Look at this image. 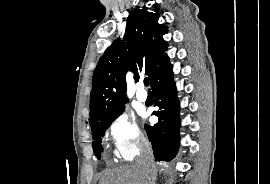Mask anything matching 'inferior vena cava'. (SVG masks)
<instances>
[{
    "label": "inferior vena cava",
    "mask_w": 270,
    "mask_h": 184,
    "mask_svg": "<svg viewBox=\"0 0 270 184\" xmlns=\"http://www.w3.org/2000/svg\"><path fill=\"white\" fill-rule=\"evenodd\" d=\"M137 165L141 166L147 171H150V173L154 172L153 152L147 141H144L142 143L141 155L139 157Z\"/></svg>",
    "instance_id": "602c4592"
}]
</instances>
